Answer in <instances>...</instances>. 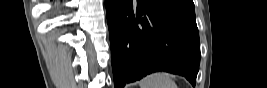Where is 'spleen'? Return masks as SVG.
<instances>
[{
  "instance_id": "3e777b00",
  "label": "spleen",
  "mask_w": 267,
  "mask_h": 88,
  "mask_svg": "<svg viewBox=\"0 0 267 88\" xmlns=\"http://www.w3.org/2000/svg\"><path fill=\"white\" fill-rule=\"evenodd\" d=\"M140 88H178L166 72H156L147 75L139 82Z\"/></svg>"
}]
</instances>
